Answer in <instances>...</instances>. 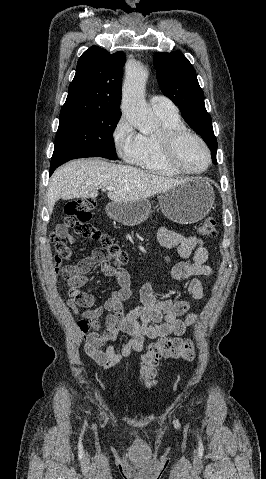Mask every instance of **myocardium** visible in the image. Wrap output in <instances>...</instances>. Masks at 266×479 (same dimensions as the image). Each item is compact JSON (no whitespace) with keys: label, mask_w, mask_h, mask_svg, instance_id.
<instances>
[{"label":"myocardium","mask_w":266,"mask_h":479,"mask_svg":"<svg viewBox=\"0 0 266 479\" xmlns=\"http://www.w3.org/2000/svg\"><path fill=\"white\" fill-rule=\"evenodd\" d=\"M185 137L195 138L204 148L207 163L204 168L200 170H188L184 168L177 159V147L182 139ZM160 142L162 148V155L165 162L175 171L185 175H200L206 172L212 164V154L206 141L196 132L187 128H173L164 129L160 134Z\"/></svg>","instance_id":"myocardium-1"}]
</instances>
